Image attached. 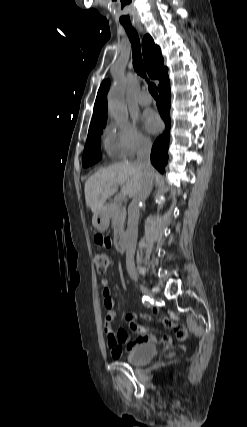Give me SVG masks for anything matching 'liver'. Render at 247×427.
Instances as JSON below:
<instances>
[{
  "mask_svg": "<svg viewBox=\"0 0 247 427\" xmlns=\"http://www.w3.org/2000/svg\"><path fill=\"white\" fill-rule=\"evenodd\" d=\"M143 172L136 162L123 161L103 168L92 175L85 183L86 205L93 214L104 207L105 201L112 196L119 185L122 191L134 197L139 190Z\"/></svg>",
  "mask_w": 247,
  "mask_h": 427,
  "instance_id": "liver-1",
  "label": "liver"
}]
</instances>
